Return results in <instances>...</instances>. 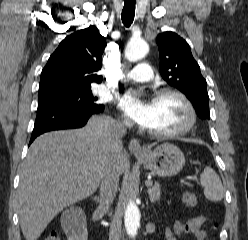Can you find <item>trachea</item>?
<instances>
[{"label": "trachea", "mask_w": 248, "mask_h": 240, "mask_svg": "<svg viewBox=\"0 0 248 240\" xmlns=\"http://www.w3.org/2000/svg\"><path fill=\"white\" fill-rule=\"evenodd\" d=\"M135 16V2L134 1H128L125 0L122 14H121V19L125 27H130L134 20Z\"/></svg>", "instance_id": "3493384b"}]
</instances>
